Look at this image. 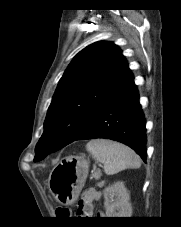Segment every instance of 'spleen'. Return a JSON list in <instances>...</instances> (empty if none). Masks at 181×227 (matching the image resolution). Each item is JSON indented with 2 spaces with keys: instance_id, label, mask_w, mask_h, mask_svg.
<instances>
[{
  "instance_id": "spleen-1",
  "label": "spleen",
  "mask_w": 181,
  "mask_h": 227,
  "mask_svg": "<svg viewBox=\"0 0 181 227\" xmlns=\"http://www.w3.org/2000/svg\"><path fill=\"white\" fill-rule=\"evenodd\" d=\"M86 150L97 162L103 163V169L107 175L141 166L140 157L129 147L118 142L94 139L86 144Z\"/></svg>"
}]
</instances>
